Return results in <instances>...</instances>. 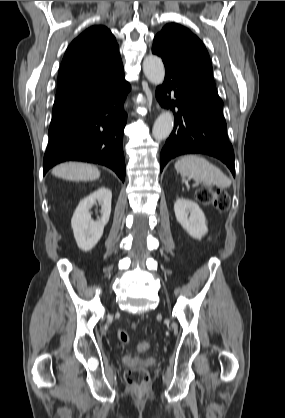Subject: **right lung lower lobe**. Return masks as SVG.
I'll return each mask as SVG.
<instances>
[{
	"label": "right lung lower lobe",
	"instance_id": "right-lung-lower-lobe-1",
	"mask_svg": "<svg viewBox=\"0 0 285 418\" xmlns=\"http://www.w3.org/2000/svg\"><path fill=\"white\" fill-rule=\"evenodd\" d=\"M130 84L123 78L96 94L52 113L44 174L61 162L84 161L111 168L124 182L123 110Z\"/></svg>",
	"mask_w": 285,
	"mask_h": 418
}]
</instances>
